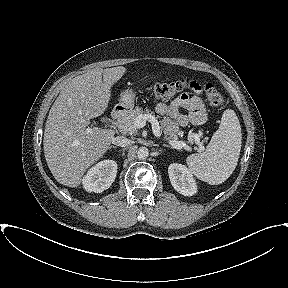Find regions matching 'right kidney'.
<instances>
[{"label": "right kidney", "mask_w": 288, "mask_h": 288, "mask_svg": "<svg viewBox=\"0 0 288 288\" xmlns=\"http://www.w3.org/2000/svg\"><path fill=\"white\" fill-rule=\"evenodd\" d=\"M117 174V163L104 160L93 166L84 176L82 183L87 192L101 193L114 182Z\"/></svg>", "instance_id": "ca27d5eb"}]
</instances>
